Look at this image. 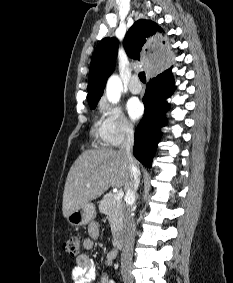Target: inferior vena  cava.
<instances>
[{
	"label": "inferior vena cava",
	"mask_w": 233,
	"mask_h": 283,
	"mask_svg": "<svg viewBox=\"0 0 233 283\" xmlns=\"http://www.w3.org/2000/svg\"><path fill=\"white\" fill-rule=\"evenodd\" d=\"M134 144V131L133 127L128 125L126 127V138L124 143L120 146L119 153L127 156L130 167L131 175L130 182L125 195V205L123 207L124 217V241L121 254V268L125 270L132 264L133 245L135 238L136 225L133 218V205L135 202V193L138 189L140 182V170L136 165L135 159L132 155V148Z\"/></svg>",
	"instance_id": "1"
}]
</instances>
